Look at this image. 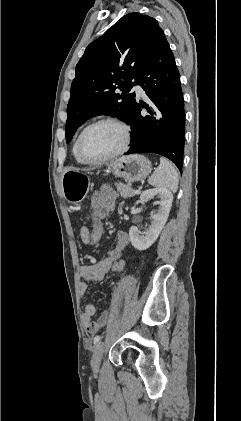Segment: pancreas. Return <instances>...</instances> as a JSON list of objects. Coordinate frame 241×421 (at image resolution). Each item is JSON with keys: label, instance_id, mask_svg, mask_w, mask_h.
I'll use <instances>...</instances> for the list:
<instances>
[{"label": "pancreas", "instance_id": "pancreas-1", "mask_svg": "<svg viewBox=\"0 0 241 421\" xmlns=\"http://www.w3.org/2000/svg\"><path fill=\"white\" fill-rule=\"evenodd\" d=\"M117 191L123 198H130L136 195L135 190L130 186L124 183H115Z\"/></svg>", "mask_w": 241, "mask_h": 421}]
</instances>
